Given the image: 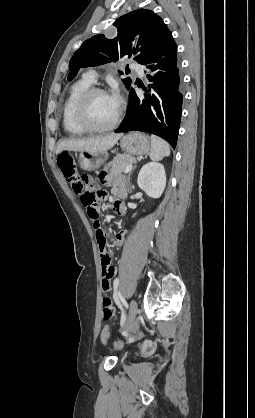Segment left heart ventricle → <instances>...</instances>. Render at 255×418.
I'll list each match as a JSON object with an SVG mask.
<instances>
[{"mask_svg":"<svg viewBox=\"0 0 255 418\" xmlns=\"http://www.w3.org/2000/svg\"><path fill=\"white\" fill-rule=\"evenodd\" d=\"M118 109L113 105L108 94H96L89 103V118L96 126L110 124L116 116Z\"/></svg>","mask_w":255,"mask_h":418,"instance_id":"left-heart-ventricle-1","label":"left heart ventricle"}]
</instances>
